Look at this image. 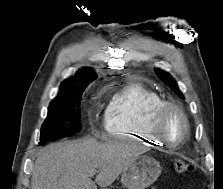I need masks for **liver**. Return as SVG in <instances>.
Wrapping results in <instances>:
<instances>
[{
  "instance_id": "6515ba94",
  "label": "liver",
  "mask_w": 223,
  "mask_h": 189,
  "mask_svg": "<svg viewBox=\"0 0 223 189\" xmlns=\"http://www.w3.org/2000/svg\"><path fill=\"white\" fill-rule=\"evenodd\" d=\"M139 154L136 145L119 141L84 138L53 143L38 154L31 189L106 188ZM93 170H98L95 181L89 174Z\"/></svg>"
}]
</instances>
